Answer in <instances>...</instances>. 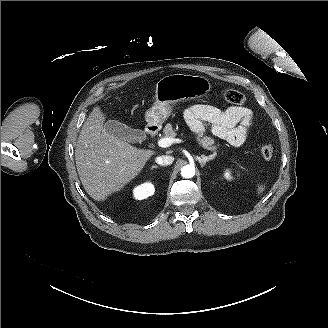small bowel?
<instances>
[{
    "label": "small bowel",
    "instance_id": "small-bowel-1",
    "mask_svg": "<svg viewBox=\"0 0 328 328\" xmlns=\"http://www.w3.org/2000/svg\"><path fill=\"white\" fill-rule=\"evenodd\" d=\"M184 118L196 134H202L206 126H209L218 138L232 146H241L246 141L253 112L243 106L221 110L208 104H194L184 110Z\"/></svg>",
    "mask_w": 328,
    "mask_h": 328
}]
</instances>
